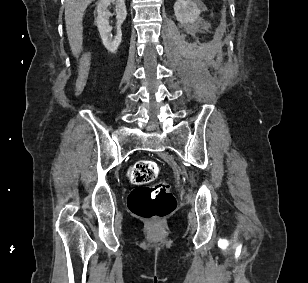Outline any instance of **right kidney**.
<instances>
[{"label": "right kidney", "instance_id": "ca27d5eb", "mask_svg": "<svg viewBox=\"0 0 308 283\" xmlns=\"http://www.w3.org/2000/svg\"><path fill=\"white\" fill-rule=\"evenodd\" d=\"M111 3L115 5L117 20V33L114 37L111 34L112 27L109 25V18L112 14L108 10V7ZM96 14V25L103 45L109 52L114 53L122 40L121 25L127 15L125 2L124 0H100L96 7Z\"/></svg>", "mask_w": 308, "mask_h": 283}]
</instances>
